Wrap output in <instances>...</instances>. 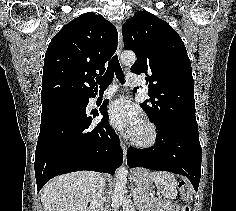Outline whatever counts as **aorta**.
<instances>
[{
    "label": "aorta",
    "mask_w": 236,
    "mask_h": 211,
    "mask_svg": "<svg viewBox=\"0 0 236 211\" xmlns=\"http://www.w3.org/2000/svg\"><path fill=\"white\" fill-rule=\"evenodd\" d=\"M136 59H137L136 55L132 51L124 52L121 55V61L125 65L134 64ZM127 174H128V170L124 165H121L117 169L115 187H114V191L111 198L112 200L111 206L114 211H118L119 206H121L124 200V191H125L126 183H127Z\"/></svg>",
    "instance_id": "aorta-1"
}]
</instances>
